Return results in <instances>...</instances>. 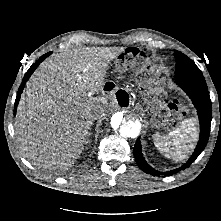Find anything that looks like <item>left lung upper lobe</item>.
I'll list each match as a JSON object with an SVG mask.
<instances>
[{"label":"left lung upper lobe","mask_w":221,"mask_h":221,"mask_svg":"<svg viewBox=\"0 0 221 221\" xmlns=\"http://www.w3.org/2000/svg\"><path fill=\"white\" fill-rule=\"evenodd\" d=\"M176 70L175 77L182 76H203L196 64L183 53L175 50Z\"/></svg>","instance_id":"left-lung-upper-lobe-1"}]
</instances>
